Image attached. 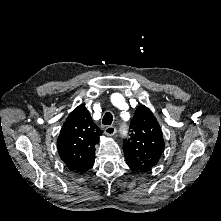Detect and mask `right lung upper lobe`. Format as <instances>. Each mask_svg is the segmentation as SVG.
<instances>
[{"instance_id": "right-lung-upper-lobe-1", "label": "right lung upper lobe", "mask_w": 221, "mask_h": 221, "mask_svg": "<svg viewBox=\"0 0 221 221\" xmlns=\"http://www.w3.org/2000/svg\"><path fill=\"white\" fill-rule=\"evenodd\" d=\"M101 134L84 106H78L69 114L60 131L57 149L70 171L82 174L92 168L95 145Z\"/></svg>"}]
</instances>
